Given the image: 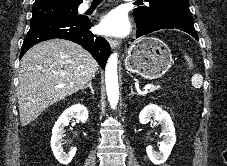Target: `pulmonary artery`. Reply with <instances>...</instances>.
I'll list each match as a JSON object with an SVG mask.
<instances>
[{
    "label": "pulmonary artery",
    "instance_id": "pulmonary-artery-1",
    "mask_svg": "<svg viewBox=\"0 0 227 166\" xmlns=\"http://www.w3.org/2000/svg\"><path fill=\"white\" fill-rule=\"evenodd\" d=\"M89 4L88 3H85V4H83L82 6H81V9L82 10H87V9H89Z\"/></svg>",
    "mask_w": 227,
    "mask_h": 166
}]
</instances>
